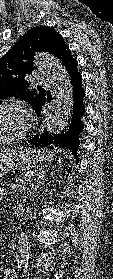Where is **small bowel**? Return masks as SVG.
I'll list each match as a JSON object with an SVG mask.
<instances>
[{
	"instance_id": "c3829d8e",
	"label": "small bowel",
	"mask_w": 113,
	"mask_h": 279,
	"mask_svg": "<svg viewBox=\"0 0 113 279\" xmlns=\"http://www.w3.org/2000/svg\"><path fill=\"white\" fill-rule=\"evenodd\" d=\"M4 191L2 188H0V196L2 197ZM3 279H15L16 278V274L15 271L12 269H6L3 273Z\"/></svg>"
}]
</instances>
